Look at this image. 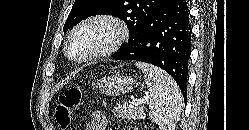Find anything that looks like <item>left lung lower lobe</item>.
I'll use <instances>...</instances> for the list:
<instances>
[{
  "mask_svg": "<svg viewBox=\"0 0 249 130\" xmlns=\"http://www.w3.org/2000/svg\"><path fill=\"white\" fill-rule=\"evenodd\" d=\"M192 28L187 1L169 0L142 26L131 43L120 49L116 60H137L169 73L187 101L188 62Z\"/></svg>",
  "mask_w": 249,
  "mask_h": 130,
  "instance_id": "obj_1",
  "label": "left lung lower lobe"
}]
</instances>
